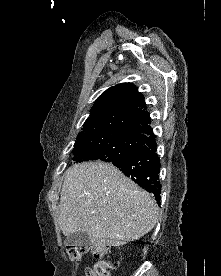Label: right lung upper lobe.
<instances>
[{"mask_svg": "<svg viewBox=\"0 0 221 276\" xmlns=\"http://www.w3.org/2000/svg\"><path fill=\"white\" fill-rule=\"evenodd\" d=\"M150 123L142 94L133 84L121 83L98 97L77 140L114 132L145 138L152 131Z\"/></svg>", "mask_w": 221, "mask_h": 276, "instance_id": "1", "label": "right lung upper lobe"}]
</instances>
